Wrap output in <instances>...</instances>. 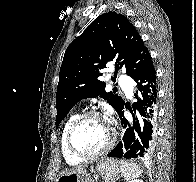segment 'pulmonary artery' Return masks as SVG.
<instances>
[{
    "label": "pulmonary artery",
    "mask_w": 196,
    "mask_h": 182,
    "mask_svg": "<svg viewBox=\"0 0 196 182\" xmlns=\"http://www.w3.org/2000/svg\"><path fill=\"white\" fill-rule=\"evenodd\" d=\"M119 81H120L122 87L125 88L126 94H127L128 96H131V94H132V89L129 87L130 84H131L130 79H129L127 76H125V75H120V76H119Z\"/></svg>",
    "instance_id": "1"
}]
</instances>
